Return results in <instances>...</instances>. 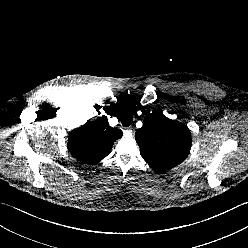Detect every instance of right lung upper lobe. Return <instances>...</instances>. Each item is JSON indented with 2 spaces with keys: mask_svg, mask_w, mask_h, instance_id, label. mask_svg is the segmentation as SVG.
Segmentation results:
<instances>
[{
  "mask_svg": "<svg viewBox=\"0 0 248 248\" xmlns=\"http://www.w3.org/2000/svg\"><path fill=\"white\" fill-rule=\"evenodd\" d=\"M122 135L121 130L109 126L104 116L70 132L67 146L74 158L95 165L111 152L114 141Z\"/></svg>",
  "mask_w": 248,
  "mask_h": 248,
  "instance_id": "right-lung-upper-lobe-1",
  "label": "right lung upper lobe"
}]
</instances>
